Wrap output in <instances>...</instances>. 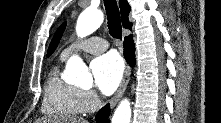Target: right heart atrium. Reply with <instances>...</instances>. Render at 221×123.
Wrapping results in <instances>:
<instances>
[{"instance_id": "right-heart-atrium-1", "label": "right heart atrium", "mask_w": 221, "mask_h": 123, "mask_svg": "<svg viewBox=\"0 0 221 123\" xmlns=\"http://www.w3.org/2000/svg\"><path fill=\"white\" fill-rule=\"evenodd\" d=\"M80 98L84 112L94 110L99 104L97 94L91 90H80Z\"/></svg>"}]
</instances>
